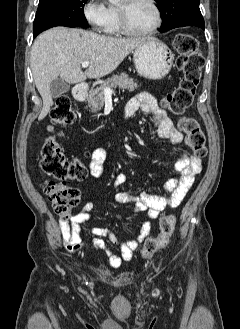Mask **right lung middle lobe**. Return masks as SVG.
<instances>
[{"mask_svg":"<svg viewBox=\"0 0 240 329\" xmlns=\"http://www.w3.org/2000/svg\"><path fill=\"white\" fill-rule=\"evenodd\" d=\"M86 2L87 0H40L33 23L34 34L54 26L87 28L83 10Z\"/></svg>","mask_w":240,"mask_h":329,"instance_id":"obj_1","label":"right lung middle lobe"}]
</instances>
